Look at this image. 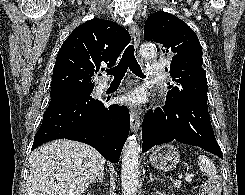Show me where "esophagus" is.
Returning a JSON list of instances; mask_svg holds the SVG:
<instances>
[{
    "instance_id": "obj_1",
    "label": "esophagus",
    "mask_w": 245,
    "mask_h": 195,
    "mask_svg": "<svg viewBox=\"0 0 245 195\" xmlns=\"http://www.w3.org/2000/svg\"><path fill=\"white\" fill-rule=\"evenodd\" d=\"M130 33L133 39V43L136 49L140 43V30L136 23L131 24ZM141 121L138 113L134 109H130V126L132 132H137L140 129Z\"/></svg>"
}]
</instances>
